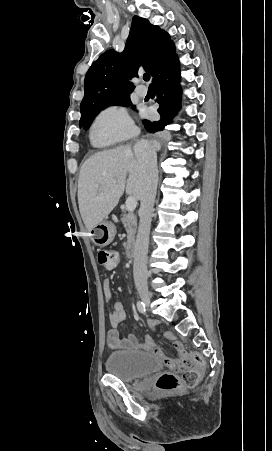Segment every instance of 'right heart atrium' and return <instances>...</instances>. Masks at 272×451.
I'll return each instance as SVG.
<instances>
[{
    "instance_id": "obj_1",
    "label": "right heart atrium",
    "mask_w": 272,
    "mask_h": 451,
    "mask_svg": "<svg viewBox=\"0 0 272 451\" xmlns=\"http://www.w3.org/2000/svg\"><path fill=\"white\" fill-rule=\"evenodd\" d=\"M133 130V122L128 113L119 107L102 111L91 128L94 142L119 141L128 138Z\"/></svg>"
}]
</instances>
